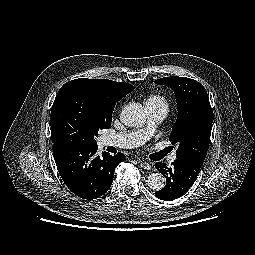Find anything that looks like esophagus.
Listing matches in <instances>:
<instances>
[{"mask_svg":"<svg viewBox=\"0 0 255 255\" xmlns=\"http://www.w3.org/2000/svg\"><path fill=\"white\" fill-rule=\"evenodd\" d=\"M140 166H141L143 169H145V170H152V169H153L152 165L149 164L148 162H143V161H141V162H140Z\"/></svg>","mask_w":255,"mask_h":255,"instance_id":"34e87169","label":"esophagus"}]
</instances>
